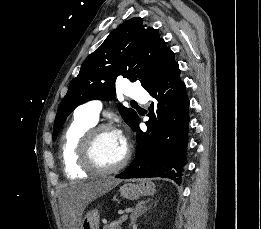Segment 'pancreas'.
<instances>
[{
    "mask_svg": "<svg viewBox=\"0 0 261 229\" xmlns=\"http://www.w3.org/2000/svg\"><path fill=\"white\" fill-rule=\"evenodd\" d=\"M125 217H121V219H119V221H112V223H110V225H105V227H103V229H121L120 225H122V219Z\"/></svg>",
    "mask_w": 261,
    "mask_h": 229,
    "instance_id": "pancreas-1",
    "label": "pancreas"
}]
</instances>
